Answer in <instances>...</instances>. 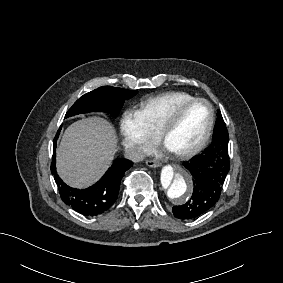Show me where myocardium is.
<instances>
[{
	"label": "myocardium",
	"instance_id": "obj_1",
	"mask_svg": "<svg viewBox=\"0 0 283 283\" xmlns=\"http://www.w3.org/2000/svg\"><path fill=\"white\" fill-rule=\"evenodd\" d=\"M194 103H204L209 110V121L207 124L206 129L204 130L201 138L198 140V142L190 149L178 153V154H173L177 159L179 160H185L188 158H191L193 156H195L197 153H199L208 143V141L210 140L211 134H212V130L214 127V123H215V110L212 106V104L204 98H192L189 100H185L182 102H178L173 104V108L180 112L182 111L184 108L188 107L191 104ZM168 106L167 103L164 104L162 111L160 112V114L158 115V128L156 131V137H157V141L159 143V145L166 151H168L165 147V138H166V133H167V129L165 126L166 123V116H165V108ZM169 152V151H168ZM170 153V152H169Z\"/></svg>",
	"mask_w": 283,
	"mask_h": 283
}]
</instances>
